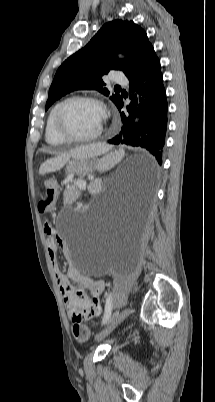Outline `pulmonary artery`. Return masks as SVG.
<instances>
[{"mask_svg":"<svg viewBox=\"0 0 215 402\" xmlns=\"http://www.w3.org/2000/svg\"><path fill=\"white\" fill-rule=\"evenodd\" d=\"M112 81L116 84H127L128 82L125 75L122 74L121 72H116L112 77Z\"/></svg>","mask_w":215,"mask_h":402,"instance_id":"e3ab8cb5","label":"pulmonary artery"}]
</instances>
